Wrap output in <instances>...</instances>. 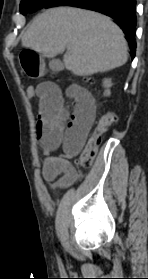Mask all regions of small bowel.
I'll list each match as a JSON object with an SVG mask.
<instances>
[{
    "label": "small bowel",
    "instance_id": "obj_1",
    "mask_svg": "<svg viewBox=\"0 0 148 279\" xmlns=\"http://www.w3.org/2000/svg\"><path fill=\"white\" fill-rule=\"evenodd\" d=\"M35 96L39 101L37 138L46 156L42 177L53 189L63 190L83 176L70 159L87 140L95 118V101L81 86L71 85L62 90L49 82L38 85ZM67 101H71L72 111ZM59 149L61 155H53Z\"/></svg>",
    "mask_w": 148,
    "mask_h": 279
}]
</instances>
